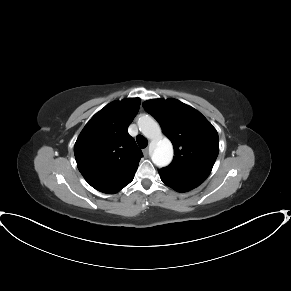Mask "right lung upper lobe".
I'll return each instance as SVG.
<instances>
[{"mask_svg": "<svg viewBox=\"0 0 291 291\" xmlns=\"http://www.w3.org/2000/svg\"><path fill=\"white\" fill-rule=\"evenodd\" d=\"M139 107V98L109 103L91 118L75 143L79 171L100 192L114 194L134 178L143 154L127 129Z\"/></svg>", "mask_w": 291, "mask_h": 291, "instance_id": "right-lung-upper-lobe-1", "label": "right lung upper lobe"}]
</instances>
